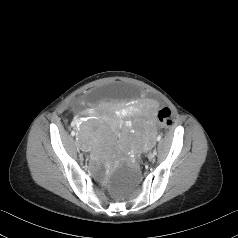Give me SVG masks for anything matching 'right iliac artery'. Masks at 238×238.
<instances>
[{"mask_svg":"<svg viewBox=\"0 0 238 238\" xmlns=\"http://www.w3.org/2000/svg\"><path fill=\"white\" fill-rule=\"evenodd\" d=\"M71 135L74 136V135H75V131H72V132H71Z\"/></svg>","mask_w":238,"mask_h":238,"instance_id":"1","label":"right iliac artery"}]
</instances>
